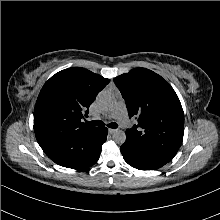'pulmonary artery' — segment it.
Returning a JSON list of instances; mask_svg holds the SVG:
<instances>
[{
  "label": "pulmonary artery",
  "instance_id": "1",
  "mask_svg": "<svg viewBox=\"0 0 220 220\" xmlns=\"http://www.w3.org/2000/svg\"><path fill=\"white\" fill-rule=\"evenodd\" d=\"M107 119L115 118L117 119L124 127L130 128L132 122L129 119L126 105L123 100H119L115 109L108 115L105 116Z\"/></svg>",
  "mask_w": 220,
  "mask_h": 220
}]
</instances>
